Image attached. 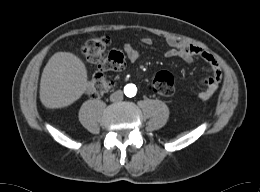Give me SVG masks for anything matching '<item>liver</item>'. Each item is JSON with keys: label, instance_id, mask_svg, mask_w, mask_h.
Masks as SVG:
<instances>
[{"label": "liver", "instance_id": "1", "mask_svg": "<svg viewBox=\"0 0 260 192\" xmlns=\"http://www.w3.org/2000/svg\"><path fill=\"white\" fill-rule=\"evenodd\" d=\"M83 61L70 52H57L43 69L40 100L47 108H62L78 100L87 87Z\"/></svg>", "mask_w": 260, "mask_h": 192}]
</instances>
